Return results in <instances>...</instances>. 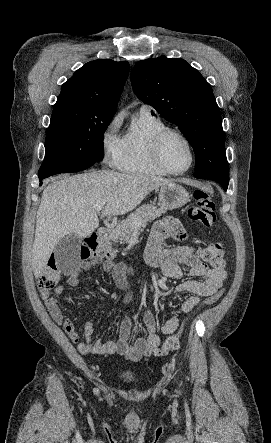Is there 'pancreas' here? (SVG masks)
<instances>
[{"instance_id": "obj_1", "label": "pancreas", "mask_w": 271, "mask_h": 443, "mask_svg": "<svg viewBox=\"0 0 271 443\" xmlns=\"http://www.w3.org/2000/svg\"><path fill=\"white\" fill-rule=\"evenodd\" d=\"M165 212V208H156V206H152V204L141 206V208H137L133 214H130L127 220H123V222L119 223L120 237L110 235V239H112V241H118V239L129 241L130 237H134V233L143 231L142 227H145L147 222L159 218V216L165 214Z\"/></svg>"}]
</instances>
